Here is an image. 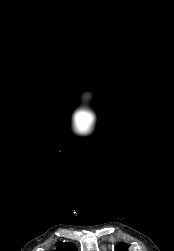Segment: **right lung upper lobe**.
<instances>
[{"label": "right lung upper lobe", "instance_id": "right-lung-upper-lobe-1", "mask_svg": "<svg viewBox=\"0 0 174 251\" xmlns=\"http://www.w3.org/2000/svg\"><path fill=\"white\" fill-rule=\"evenodd\" d=\"M56 246L58 251H76V248L70 243L58 242Z\"/></svg>", "mask_w": 174, "mask_h": 251}]
</instances>
